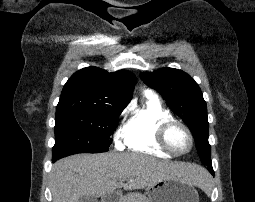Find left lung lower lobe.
I'll list each match as a JSON object with an SVG mask.
<instances>
[{
  "instance_id": "0a47b994",
  "label": "left lung lower lobe",
  "mask_w": 255,
  "mask_h": 202,
  "mask_svg": "<svg viewBox=\"0 0 255 202\" xmlns=\"http://www.w3.org/2000/svg\"><path fill=\"white\" fill-rule=\"evenodd\" d=\"M207 166H208V170L214 175V172H213V169H212V164L208 163Z\"/></svg>"
}]
</instances>
